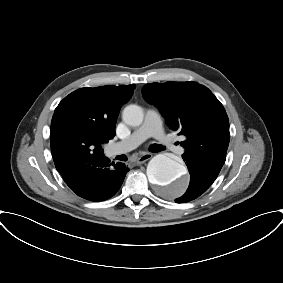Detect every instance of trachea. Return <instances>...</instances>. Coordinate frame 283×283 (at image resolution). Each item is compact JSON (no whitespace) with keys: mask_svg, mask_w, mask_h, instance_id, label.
Wrapping results in <instances>:
<instances>
[{"mask_svg":"<svg viewBox=\"0 0 283 283\" xmlns=\"http://www.w3.org/2000/svg\"><path fill=\"white\" fill-rule=\"evenodd\" d=\"M150 149L153 151V152H160V151H163L165 150V148L162 146V145H159V144H153Z\"/></svg>","mask_w":283,"mask_h":283,"instance_id":"3493384b","label":"trachea"}]
</instances>
